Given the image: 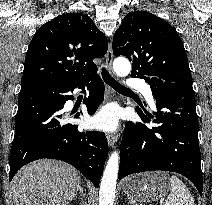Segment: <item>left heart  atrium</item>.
I'll return each mask as SVG.
<instances>
[{
    "mask_svg": "<svg viewBox=\"0 0 212 205\" xmlns=\"http://www.w3.org/2000/svg\"><path fill=\"white\" fill-rule=\"evenodd\" d=\"M119 114L112 106L100 109L92 119V125L101 130L111 131L118 125Z\"/></svg>",
    "mask_w": 212,
    "mask_h": 205,
    "instance_id": "left-heart-atrium-1",
    "label": "left heart atrium"
}]
</instances>
